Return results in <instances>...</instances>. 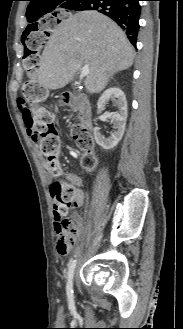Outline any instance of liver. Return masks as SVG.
Wrapping results in <instances>:
<instances>
[{
	"label": "liver",
	"instance_id": "1",
	"mask_svg": "<svg viewBox=\"0 0 183 329\" xmlns=\"http://www.w3.org/2000/svg\"><path fill=\"white\" fill-rule=\"evenodd\" d=\"M134 48L122 29L96 11L69 15L50 36L40 59L38 83L59 89L88 66L85 88L100 93L117 72L134 61Z\"/></svg>",
	"mask_w": 183,
	"mask_h": 329
}]
</instances>
